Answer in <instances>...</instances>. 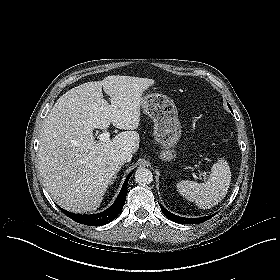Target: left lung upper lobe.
Returning <instances> with one entry per match:
<instances>
[{"label":"left lung upper lobe","mask_w":280,"mask_h":280,"mask_svg":"<svg viewBox=\"0 0 280 280\" xmlns=\"http://www.w3.org/2000/svg\"><path fill=\"white\" fill-rule=\"evenodd\" d=\"M228 106H229L230 110L232 111V109H231V107H230V105H229V104H228Z\"/></svg>","instance_id":"1"}]
</instances>
